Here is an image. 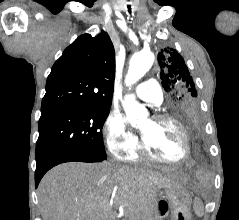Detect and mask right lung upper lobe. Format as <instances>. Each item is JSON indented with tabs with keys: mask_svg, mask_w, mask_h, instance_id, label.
Instances as JSON below:
<instances>
[{
	"mask_svg": "<svg viewBox=\"0 0 239 220\" xmlns=\"http://www.w3.org/2000/svg\"><path fill=\"white\" fill-rule=\"evenodd\" d=\"M115 51L105 31L79 36L54 63L46 82L41 113L81 108H110Z\"/></svg>",
	"mask_w": 239,
	"mask_h": 220,
	"instance_id": "obj_1",
	"label": "right lung upper lobe"
}]
</instances>
